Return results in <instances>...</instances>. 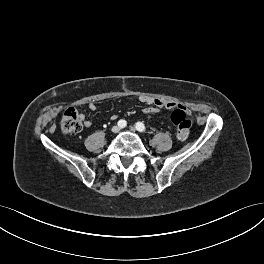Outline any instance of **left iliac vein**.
Instances as JSON below:
<instances>
[{
	"mask_svg": "<svg viewBox=\"0 0 264 264\" xmlns=\"http://www.w3.org/2000/svg\"><path fill=\"white\" fill-rule=\"evenodd\" d=\"M129 131L135 133L136 129L134 127H129Z\"/></svg>",
	"mask_w": 264,
	"mask_h": 264,
	"instance_id": "obj_1",
	"label": "left iliac vein"
}]
</instances>
